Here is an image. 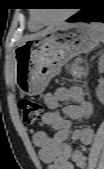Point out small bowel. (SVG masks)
Wrapping results in <instances>:
<instances>
[{
  "mask_svg": "<svg viewBox=\"0 0 104 169\" xmlns=\"http://www.w3.org/2000/svg\"><path fill=\"white\" fill-rule=\"evenodd\" d=\"M71 101L62 108L60 104ZM43 102L48 108L41 119L42 126H49L55 130L54 136L45 131L33 134V143L39 148L40 159L48 169L84 168L87 164L85 146L90 144L94 131L89 127H80L71 130V120H88L93 115L92 104L85 99L82 88H58L53 93L43 96ZM68 138L80 147L73 150L67 143Z\"/></svg>",
  "mask_w": 104,
  "mask_h": 169,
  "instance_id": "obj_1",
  "label": "small bowel"
}]
</instances>
